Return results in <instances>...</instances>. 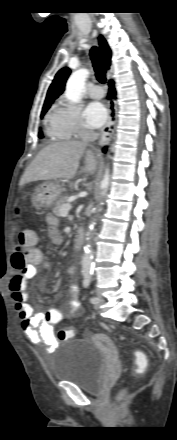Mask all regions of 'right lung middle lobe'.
<instances>
[{
  "label": "right lung middle lobe",
  "instance_id": "1",
  "mask_svg": "<svg viewBox=\"0 0 177 440\" xmlns=\"http://www.w3.org/2000/svg\"><path fill=\"white\" fill-rule=\"evenodd\" d=\"M51 104H52V102L44 103V106H43V109H42V112H41V118H42V117L44 116V114L48 111V109L50 108ZM38 137H39V138H43V134H42L41 131L39 132Z\"/></svg>",
  "mask_w": 177,
  "mask_h": 440
}]
</instances>
